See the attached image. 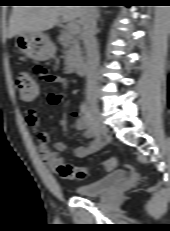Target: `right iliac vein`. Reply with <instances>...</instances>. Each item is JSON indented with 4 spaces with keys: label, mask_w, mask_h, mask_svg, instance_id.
Instances as JSON below:
<instances>
[{
    "label": "right iliac vein",
    "mask_w": 170,
    "mask_h": 231,
    "mask_svg": "<svg viewBox=\"0 0 170 231\" xmlns=\"http://www.w3.org/2000/svg\"><path fill=\"white\" fill-rule=\"evenodd\" d=\"M88 103H89V108L90 112L95 120V123L97 124L99 133L102 136H106L109 132L107 126L102 122L100 116H99V108L96 103V98L95 95L91 94L87 97Z\"/></svg>",
    "instance_id": "obj_1"
}]
</instances>
